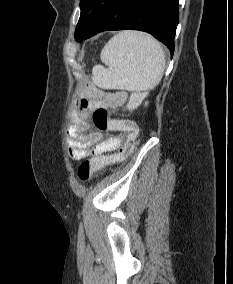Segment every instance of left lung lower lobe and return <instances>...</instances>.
Returning a JSON list of instances; mask_svg holds the SVG:
<instances>
[{"label":"left lung lower lobe","mask_w":233,"mask_h":284,"mask_svg":"<svg viewBox=\"0 0 233 284\" xmlns=\"http://www.w3.org/2000/svg\"><path fill=\"white\" fill-rule=\"evenodd\" d=\"M178 2L179 0H106L83 38L88 39L107 30H141L164 43L173 55L179 17Z\"/></svg>","instance_id":"1"}]
</instances>
